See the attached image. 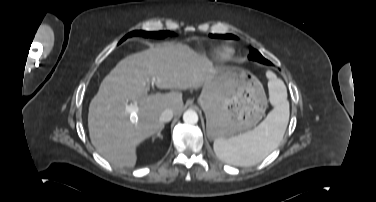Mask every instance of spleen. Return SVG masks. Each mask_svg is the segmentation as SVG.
Masks as SVG:
<instances>
[{
    "instance_id": "1",
    "label": "spleen",
    "mask_w": 376,
    "mask_h": 202,
    "mask_svg": "<svg viewBox=\"0 0 376 202\" xmlns=\"http://www.w3.org/2000/svg\"><path fill=\"white\" fill-rule=\"evenodd\" d=\"M268 78L269 100L274 109L255 129L229 139H216L214 151L222 161L237 166L256 165L281 142L290 114L286 87L274 73L269 72Z\"/></svg>"
}]
</instances>
